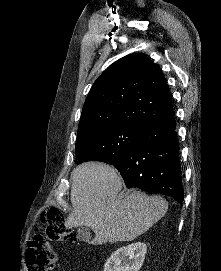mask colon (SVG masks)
<instances>
[{"instance_id":"obj_1","label":"colon","mask_w":221,"mask_h":271,"mask_svg":"<svg viewBox=\"0 0 221 271\" xmlns=\"http://www.w3.org/2000/svg\"><path fill=\"white\" fill-rule=\"evenodd\" d=\"M43 222L47 225V237L38 233L28 243L24 255L25 271H51L57 261L52 242H74L81 237L78 231L66 226L64 213L57 206L47 207L42 213Z\"/></svg>"}]
</instances>
